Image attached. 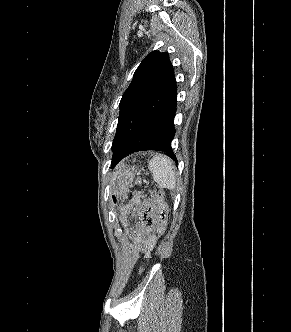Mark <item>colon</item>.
I'll return each instance as SVG.
<instances>
[{
  "mask_svg": "<svg viewBox=\"0 0 291 332\" xmlns=\"http://www.w3.org/2000/svg\"><path fill=\"white\" fill-rule=\"evenodd\" d=\"M139 218L142 227L151 228L155 223H158L161 230L164 232L167 221V209L164 201V195L161 190L156 193L155 199L144 200L139 208Z\"/></svg>",
  "mask_w": 291,
  "mask_h": 332,
  "instance_id": "5ec220e1",
  "label": "colon"
}]
</instances>
